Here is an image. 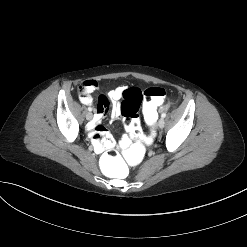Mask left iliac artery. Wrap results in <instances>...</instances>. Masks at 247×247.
Instances as JSON below:
<instances>
[{
	"label": "left iliac artery",
	"instance_id": "obj_1",
	"mask_svg": "<svg viewBox=\"0 0 247 247\" xmlns=\"http://www.w3.org/2000/svg\"><path fill=\"white\" fill-rule=\"evenodd\" d=\"M161 117H162V118H165V117H166V113H162V114H161Z\"/></svg>",
	"mask_w": 247,
	"mask_h": 247
}]
</instances>
